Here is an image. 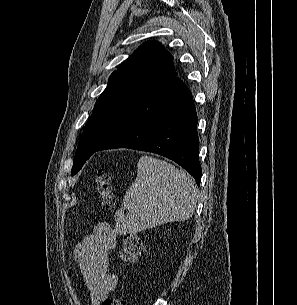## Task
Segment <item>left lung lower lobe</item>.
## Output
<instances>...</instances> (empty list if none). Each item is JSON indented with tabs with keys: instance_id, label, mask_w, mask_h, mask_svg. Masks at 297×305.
I'll use <instances>...</instances> for the list:
<instances>
[{
	"instance_id": "obj_1",
	"label": "left lung lower lobe",
	"mask_w": 297,
	"mask_h": 305,
	"mask_svg": "<svg viewBox=\"0 0 297 305\" xmlns=\"http://www.w3.org/2000/svg\"><path fill=\"white\" fill-rule=\"evenodd\" d=\"M116 148L165 156L200 185L197 113L190 90L179 78L157 81L141 92L96 151Z\"/></svg>"
}]
</instances>
